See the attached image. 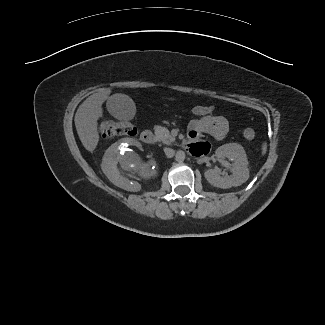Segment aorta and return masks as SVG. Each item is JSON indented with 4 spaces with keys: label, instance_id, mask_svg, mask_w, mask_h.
<instances>
[{
    "label": "aorta",
    "instance_id": "1",
    "mask_svg": "<svg viewBox=\"0 0 325 325\" xmlns=\"http://www.w3.org/2000/svg\"><path fill=\"white\" fill-rule=\"evenodd\" d=\"M175 159L178 162H183L185 160V152L181 150L177 151Z\"/></svg>",
    "mask_w": 325,
    "mask_h": 325
}]
</instances>
